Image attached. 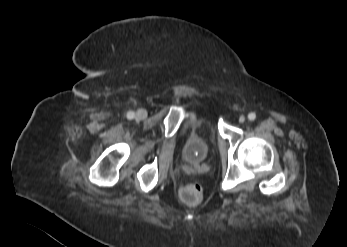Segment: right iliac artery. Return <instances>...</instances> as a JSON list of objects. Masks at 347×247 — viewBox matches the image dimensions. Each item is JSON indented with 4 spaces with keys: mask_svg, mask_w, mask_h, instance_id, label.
<instances>
[{
    "mask_svg": "<svg viewBox=\"0 0 347 247\" xmlns=\"http://www.w3.org/2000/svg\"><path fill=\"white\" fill-rule=\"evenodd\" d=\"M134 116H135V113H134L133 111H129V112L127 113V118H128V119H132V118H134Z\"/></svg>",
    "mask_w": 347,
    "mask_h": 247,
    "instance_id": "right-iliac-artery-1",
    "label": "right iliac artery"
}]
</instances>
